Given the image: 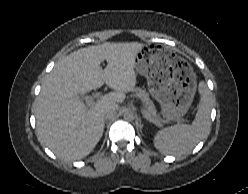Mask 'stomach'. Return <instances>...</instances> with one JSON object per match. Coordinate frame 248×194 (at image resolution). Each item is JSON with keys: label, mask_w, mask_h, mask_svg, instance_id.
Here are the masks:
<instances>
[{"label": "stomach", "mask_w": 248, "mask_h": 194, "mask_svg": "<svg viewBox=\"0 0 248 194\" xmlns=\"http://www.w3.org/2000/svg\"><path fill=\"white\" fill-rule=\"evenodd\" d=\"M135 69L146 77L148 90L162 106L164 118L178 120L187 113L197 86L189 63L165 47L145 45L136 54Z\"/></svg>", "instance_id": "obj_1"}]
</instances>
